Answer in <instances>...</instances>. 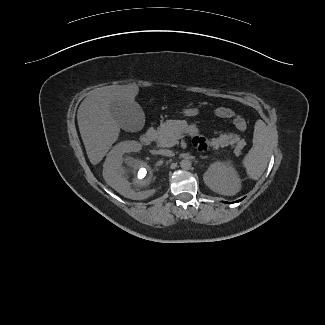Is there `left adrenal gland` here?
<instances>
[{
  "label": "left adrenal gland",
  "mask_w": 325,
  "mask_h": 325,
  "mask_svg": "<svg viewBox=\"0 0 325 325\" xmlns=\"http://www.w3.org/2000/svg\"><path fill=\"white\" fill-rule=\"evenodd\" d=\"M200 157L203 158V159H204V158H207V156H200Z\"/></svg>",
  "instance_id": "1"
}]
</instances>
